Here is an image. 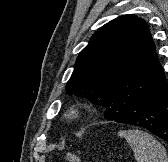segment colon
Wrapping results in <instances>:
<instances>
[{
	"label": "colon",
	"mask_w": 168,
	"mask_h": 162,
	"mask_svg": "<svg viewBox=\"0 0 168 162\" xmlns=\"http://www.w3.org/2000/svg\"><path fill=\"white\" fill-rule=\"evenodd\" d=\"M66 162H79V158L74 154H68L66 156Z\"/></svg>",
	"instance_id": "colon-1"
}]
</instances>
